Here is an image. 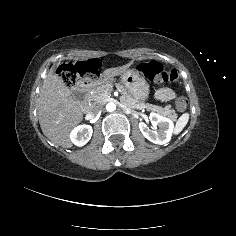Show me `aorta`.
Segmentation results:
<instances>
[{"label":"aorta","instance_id":"obj_1","mask_svg":"<svg viewBox=\"0 0 236 236\" xmlns=\"http://www.w3.org/2000/svg\"><path fill=\"white\" fill-rule=\"evenodd\" d=\"M106 110H107L108 112H113V111H115V110H116V105H115V103H113V102L108 103V104L106 105Z\"/></svg>","mask_w":236,"mask_h":236}]
</instances>
